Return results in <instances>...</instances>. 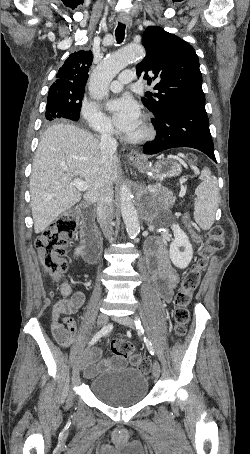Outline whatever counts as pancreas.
Returning a JSON list of instances; mask_svg holds the SVG:
<instances>
[{
    "mask_svg": "<svg viewBox=\"0 0 250 454\" xmlns=\"http://www.w3.org/2000/svg\"><path fill=\"white\" fill-rule=\"evenodd\" d=\"M173 200L174 198L171 195H168L167 198L164 199V203L169 206L172 204Z\"/></svg>",
    "mask_w": 250,
    "mask_h": 454,
    "instance_id": "1",
    "label": "pancreas"
}]
</instances>
